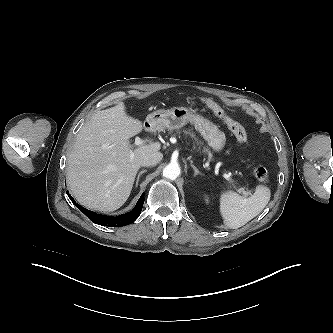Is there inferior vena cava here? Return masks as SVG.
<instances>
[{
	"label": "inferior vena cava",
	"mask_w": 333,
	"mask_h": 333,
	"mask_svg": "<svg viewBox=\"0 0 333 333\" xmlns=\"http://www.w3.org/2000/svg\"><path fill=\"white\" fill-rule=\"evenodd\" d=\"M162 157L163 155L160 152L149 153L142 157L140 163L146 167L154 166L161 161Z\"/></svg>",
	"instance_id": "602c4592"
}]
</instances>
